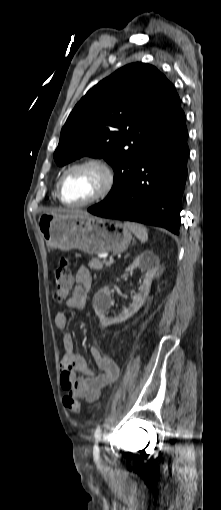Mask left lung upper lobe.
Listing matches in <instances>:
<instances>
[{
  "label": "left lung upper lobe",
  "instance_id": "1",
  "mask_svg": "<svg viewBox=\"0 0 221 510\" xmlns=\"http://www.w3.org/2000/svg\"><path fill=\"white\" fill-rule=\"evenodd\" d=\"M186 129L180 98L154 66L132 63L91 88L61 131L54 160L60 166L88 155L114 169L107 203L130 183L147 152Z\"/></svg>",
  "mask_w": 221,
  "mask_h": 510
}]
</instances>
